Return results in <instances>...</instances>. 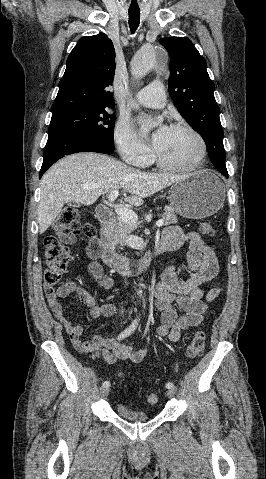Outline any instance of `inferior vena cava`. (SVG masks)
I'll list each match as a JSON object with an SVG mask.
<instances>
[{
    "instance_id": "obj_1",
    "label": "inferior vena cava",
    "mask_w": 266,
    "mask_h": 479,
    "mask_svg": "<svg viewBox=\"0 0 266 479\" xmlns=\"http://www.w3.org/2000/svg\"><path fill=\"white\" fill-rule=\"evenodd\" d=\"M123 313H124V311H123V308H122V309H121V314H123Z\"/></svg>"
}]
</instances>
